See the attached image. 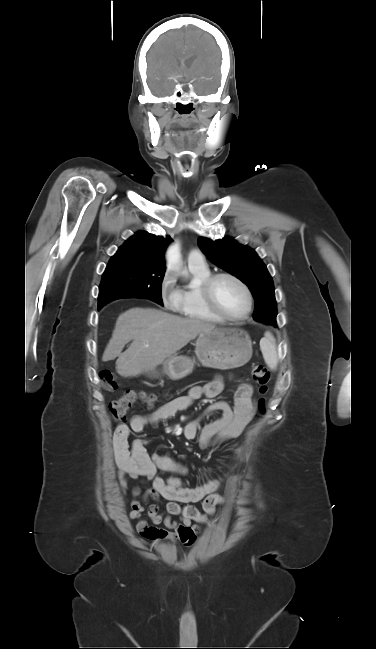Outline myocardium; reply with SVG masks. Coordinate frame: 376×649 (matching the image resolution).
Instances as JSON below:
<instances>
[{"label":"myocardium","instance_id":"obj_1","mask_svg":"<svg viewBox=\"0 0 376 649\" xmlns=\"http://www.w3.org/2000/svg\"><path fill=\"white\" fill-rule=\"evenodd\" d=\"M221 278H229L235 281L244 291L247 300V307L245 312L241 316L238 317L229 316L218 305L214 296V288L217 281ZM201 292H202L203 300L206 306L208 307V309L225 321H230V322L244 321L249 317L252 311L253 295L249 286L239 276L231 272H219V273L211 274L208 278H206L203 281Z\"/></svg>","mask_w":376,"mask_h":649}]
</instances>
